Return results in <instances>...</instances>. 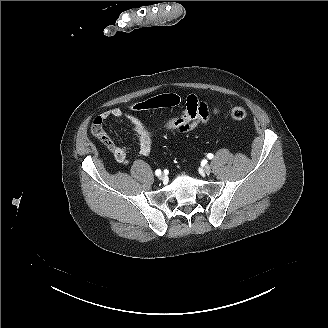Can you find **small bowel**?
<instances>
[{"mask_svg": "<svg viewBox=\"0 0 328 328\" xmlns=\"http://www.w3.org/2000/svg\"><path fill=\"white\" fill-rule=\"evenodd\" d=\"M217 107H210L206 102L199 100L195 95H189L185 99L184 109L181 113L163 124V130L169 133H188L197 127L208 123L211 115L217 114ZM102 121L110 118L125 121L135 133L139 142V153L142 156L149 155L155 133L150 130L136 115L122 108H114L103 112L99 116ZM115 160L124 163L127 158L128 148L110 147Z\"/></svg>", "mask_w": 328, "mask_h": 328, "instance_id": "1", "label": "small bowel"}]
</instances>
